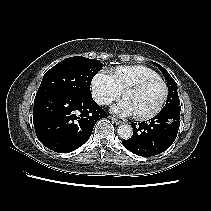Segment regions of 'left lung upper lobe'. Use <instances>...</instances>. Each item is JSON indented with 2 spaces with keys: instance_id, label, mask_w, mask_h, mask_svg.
I'll return each mask as SVG.
<instances>
[{
  "instance_id": "left-lung-upper-lobe-1",
  "label": "left lung upper lobe",
  "mask_w": 211,
  "mask_h": 211,
  "mask_svg": "<svg viewBox=\"0 0 211 211\" xmlns=\"http://www.w3.org/2000/svg\"><path fill=\"white\" fill-rule=\"evenodd\" d=\"M155 66L159 68V70L164 75L167 85H168V98L167 103L162 109V111H177L180 112L181 106L179 101V96L177 92V84L174 79L170 76V74L159 64L152 62Z\"/></svg>"
}]
</instances>
